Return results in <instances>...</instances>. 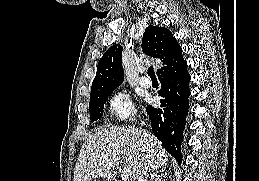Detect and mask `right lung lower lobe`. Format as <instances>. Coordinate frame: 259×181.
Segmentation results:
<instances>
[{
	"instance_id": "obj_1",
	"label": "right lung lower lobe",
	"mask_w": 259,
	"mask_h": 181,
	"mask_svg": "<svg viewBox=\"0 0 259 181\" xmlns=\"http://www.w3.org/2000/svg\"><path fill=\"white\" fill-rule=\"evenodd\" d=\"M157 76L161 83V89L158 92L162 97L161 105L158 108L148 105L146 111L154 135L180 164L181 143L190 95V75L182 51L159 69Z\"/></svg>"
}]
</instances>
